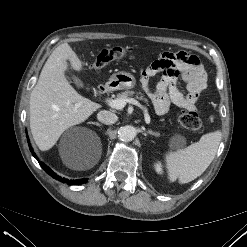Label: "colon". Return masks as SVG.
<instances>
[{
    "label": "colon",
    "instance_id": "1",
    "mask_svg": "<svg viewBox=\"0 0 247 247\" xmlns=\"http://www.w3.org/2000/svg\"><path fill=\"white\" fill-rule=\"evenodd\" d=\"M131 54V50L123 47H112L102 50L97 56L94 66L104 67L111 61L121 59ZM178 123L190 131H197L202 127V121L195 110H187L178 116Z\"/></svg>",
    "mask_w": 247,
    "mask_h": 247
}]
</instances>
